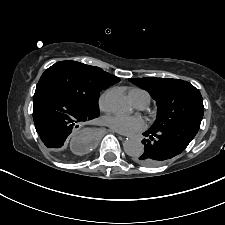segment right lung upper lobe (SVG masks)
<instances>
[{
  "instance_id": "cb5924a9",
  "label": "right lung upper lobe",
  "mask_w": 225,
  "mask_h": 225,
  "mask_svg": "<svg viewBox=\"0 0 225 225\" xmlns=\"http://www.w3.org/2000/svg\"><path fill=\"white\" fill-rule=\"evenodd\" d=\"M90 70L93 72V74L99 80L105 82L109 86H111V85L120 81V79L118 77L103 71L101 68L90 66Z\"/></svg>"
}]
</instances>
